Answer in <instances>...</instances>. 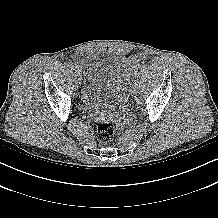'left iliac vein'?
I'll return each instance as SVG.
<instances>
[{
	"label": "left iliac vein",
	"instance_id": "4c4485c4",
	"mask_svg": "<svg viewBox=\"0 0 218 218\" xmlns=\"http://www.w3.org/2000/svg\"><path fill=\"white\" fill-rule=\"evenodd\" d=\"M132 91H133V89L130 87L129 89H128V94L130 95L131 93H132Z\"/></svg>",
	"mask_w": 218,
	"mask_h": 218
}]
</instances>
